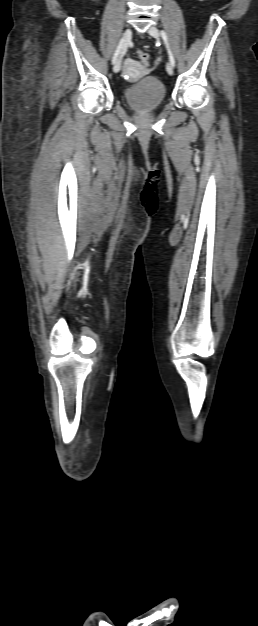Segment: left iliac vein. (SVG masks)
I'll list each match as a JSON object with an SVG mask.
<instances>
[{
	"label": "left iliac vein",
	"mask_w": 258,
	"mask_h": 626,
	"mask_svg": "<svg viewBox=\"0 0 258 626\" xmlns=\"http://www.w3.org/2000/svg\"><path fill=\"white\" fill-rule=\"evenodd\" d=\"M148 33L154 38L159 39L160 37L159 30L155 26H151L148 30ZM166 71L169 75H173L174 71H173V66L171 65V63H167Z\"/></svg>",
	"instance_id": "4c4485c4"
}]
</instances>
